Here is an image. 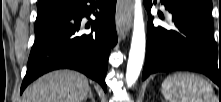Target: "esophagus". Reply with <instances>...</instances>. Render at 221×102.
<instances>
[{
  "label": "esophagus",
  "instance_id": "1",
  "mask_svg": "<svg viewBox=\"0 0 221 102\" xmlns=\"http://www.w3.org/2000/svg\"><path fill=\"white\" fill-rule=\"evenodd\" d=\"M133 4L131 0H118L116 8V27L124 39L132 26Z\"/></svg>",
  "mask_w": 221,
  "mask_h": 102
}]
</instances>
